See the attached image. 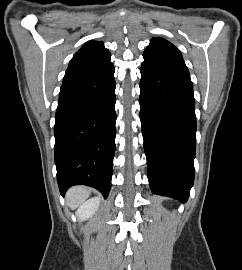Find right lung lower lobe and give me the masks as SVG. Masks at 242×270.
Instances as JSON below:
<instances>
[{
  "label": "right lung lower lobe",
  "mask_w": 242,
  "mask_h": 270,
  "mask_svg": "<svg viewBox=\"0 0 242 270\" xmlns=\"http://www.w3.org/2000/svg\"><path fill=\"white\" fill-rule=\"evenodd\" d=\"M114 66L62 84L55 116V164L62 195L73 185H88L107 197L115 153Z\"/></svg>",
  "instance_id": "obj_1"
}]
</instances>
